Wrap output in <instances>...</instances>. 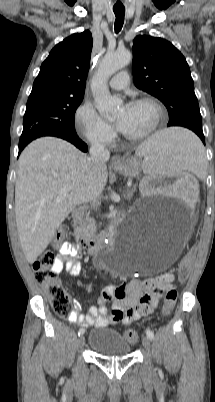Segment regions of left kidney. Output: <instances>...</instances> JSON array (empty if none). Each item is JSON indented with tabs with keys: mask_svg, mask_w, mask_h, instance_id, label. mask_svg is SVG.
Here are the masks:
<instances>
[{
	"mask_svg": "<svg viewBox=\"0 0 215 402\" xmlns=\"http://www.w3.org/2000/svg\"><path fill=\"white\" fill-rule=\"evenodd\" d=\"M192 176L182 172H172L170 175L151 172L148 178L142 179V186L145 193H173V198L189 202L196 199V193L199 191V186ZM191 207H196V202H191Z\"/></svg>",
	"mask_w": 215,
	"mask_h": 402,
	"instance_id": "5707ae66",
	"label": "left kidney"
}]
</instances>
